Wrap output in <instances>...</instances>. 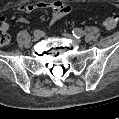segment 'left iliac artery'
Listing matches in <instances>:
<instances>
[{"instance_id":"left-iliac-artery-1","label":"left iliac artery","mask_w":119,"mask_h":119,"mask_svg":"<svg viewBox=\"0 0 119 119\" xmlns=\"http://www.w3.org/2000/svg\"><path fill=\"white\" fill-rule=\"evenodd\" d=\"M72 33L76 38H81L85 35V32L80 28H74Z\"/></svg>"}]
</instances>
